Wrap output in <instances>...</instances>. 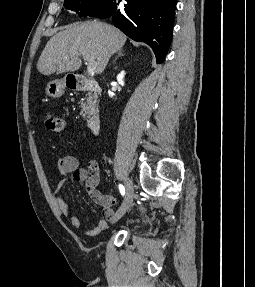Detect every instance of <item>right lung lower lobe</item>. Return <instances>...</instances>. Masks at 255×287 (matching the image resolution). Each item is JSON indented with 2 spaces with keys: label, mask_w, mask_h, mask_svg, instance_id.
Instances as JSON below:
<instances>
[{
  "label": "right lung lower lobe",
  "mask_w": 255,
  "mask_h": 287,
  "mask_svg": "<svg viewBox=\"0 0 255 287\" xmlns=\"http://www.w3.org/2000/svg\"><path fill=\"white\" fill-rule=\"evenodd\" d=\"M126 2L124 11L116 6L107 17L131 39L148 44L155 53L157 63H162L172 40L176 0Z\"/></svg>",
  "instance_id": "1"
}]
</instances>
